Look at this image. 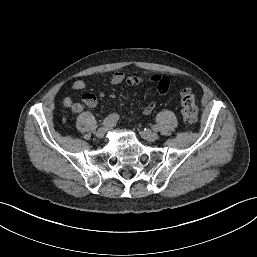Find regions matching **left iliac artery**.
Masks as SVG:
<instances>
[{"mask_svg":"<svg viewBox=\"0 0 257 257\" xmlns=\"http://www.w3.org/2000/svg\"><path fill=\"white\" fill-rule=\"evenodd\" d=\"M152 128H153L154 130H156V129H157V127H156V126H153Z\"/></svg>","mask_w":257,"mask_h":257,"instance_id":"obj_1","label":"left iliac artery"}]
</instances>
